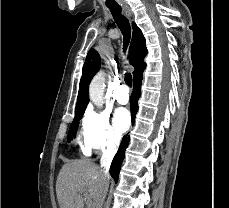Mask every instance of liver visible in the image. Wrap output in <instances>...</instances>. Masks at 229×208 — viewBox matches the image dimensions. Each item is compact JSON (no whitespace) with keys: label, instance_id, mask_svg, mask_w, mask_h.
<instances>
[{"label":"liver","instance_id":"liver-1","mask_svg":"<svg viewBox=\"0 0 229 208\" xmlns=\"http://www.w3.org/2000/svg\"><path fill=\"white\" fill-rule=\"evenodd\" d=\"M101 172L90 160H71L61 168L56 182V194L60 208H101L102 194L109 180H101ZM85 196L83 200L82 196Z\"/></svg>","mask_w":229,"mask_h":208}]
</instances>
